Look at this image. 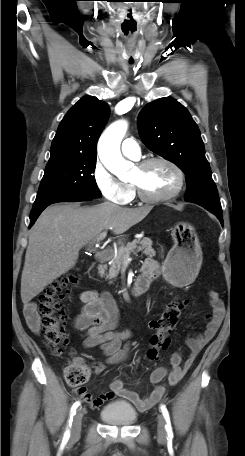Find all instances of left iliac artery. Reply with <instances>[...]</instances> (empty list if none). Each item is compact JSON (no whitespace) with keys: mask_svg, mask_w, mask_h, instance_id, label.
<instances>
[{"mask_svg":"<svg viewBox=\"0 0 245 456\" xmlns=\"http://www.w3.org/2000/svg\"><path fill=\"white\" fill-rule=\"evenodd\" d=\"M161 411H162V414L164 416V419L166 421V425H165V429L167 431V434L169 437H172L173 436V432H172V426H171V422H170V416H169V412L166 408L165 405H161Z\"/></svg>","mask_w":245,"mask_h":456,"instance_id":"left-iliac-artery-1","label":"left iliac artery"}]
</instances>
